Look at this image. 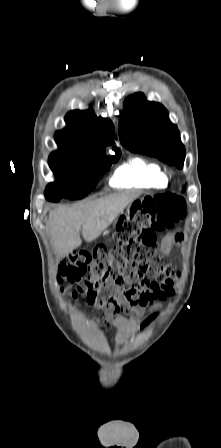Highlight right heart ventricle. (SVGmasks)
<instances>
[{
  "label": "right heart ventricle",
  "mask_w": 221,
  "mask_h": 448,
  "mask_svg": "<svg viewBox=\"0 0 221 448\" xmlns=\"http://www.w3.org/2000/svg\"><path fill=\"white\" fill-rule=\"evenodd\" d=\"M110 184L121 188H164L167 180L159 165L133 157L117 169Z\"/></svg>",
  "instance_id": "obj_1"
}]
</instances>
